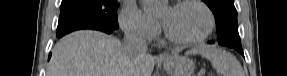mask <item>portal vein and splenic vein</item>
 I'll return each instance as SVG.
<instances>
[{"label": "portal vein and splenic vein", "mask_w": 287, "mask_h": 76, "mask_svg": "<svg viewBox=\"0 0 287 76\" xmlns=\"http://www.w3.org/2000/svg\"><path fill=\"white\" fill-rule=\"evenodd\" d=\"M202 75H204V71H201V74H199V76H202Z\"/></svg>", "instance_id": "obj_1"}]
</instances>
